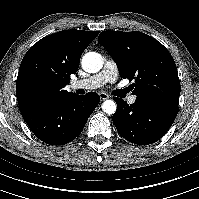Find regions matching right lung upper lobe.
<instances>
[{
  "mask_svg": "<svg viewBox=\"0 0 199 199\" xmlns=\"http://www.w3.org/2000/svg\"><path fill=\"white\" fill-rule=\"evenodd\" d=\"M99 31L63 30L46 36L25 54L16 96L22 114L74 94L64 87L78 70L80 57Z\"/></svg>",
  "mask_w": 199,
  "mask_h": 199,
  "instance_id": "right-lung-upper-lobe-1",
  "label": "right lung upper lobe"
}]
</instances>
